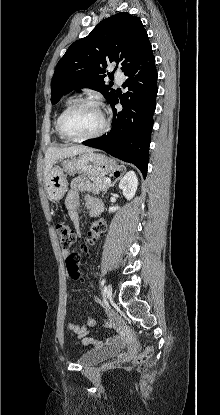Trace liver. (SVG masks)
Returning <instances> with one entry per match:
<instances>
[{
	"label": "liver",
	"mask_w": 220,
	"mask_h": 415,
	"mask_svg": "<svg viewBox=\"0 0 220 415\" xmlns=\"http://www.w3.org/2000/svg\"><path fill=\"white\" fill-rule=\"evenodd\" d=\"M93 151V149L86 147V146H71V147H49L45 153V169H44V177L48 172L52 169L55 161L57 159H63L67 157H73L77 154H82L85 152Z\"/></svg>",
	"instance_id": "obj_1"
}]
</instances>
